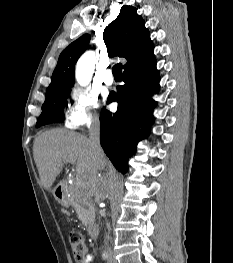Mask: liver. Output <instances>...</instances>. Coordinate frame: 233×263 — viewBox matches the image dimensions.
<instances>
[{
	"label": "liver",
	"mask_w": 233,
	"mask_h": 263,
	"mask_svg": "<svg viewBox=\"0 0 233 263\" xmlns=\"http://www.w3.org/2000/svg\"><path fill=\"white\" fill-rule=\"evenodd\" d=\"M33 155L41 184L46 190H50L64 163L76 164L79 180L93 179L98 168L106 163L102 150L98 159L95 158L96 153L85 135L62 129L39 134L34 141Z\"/></svg>",
	"instance_id": "1"
}]
</instances>
